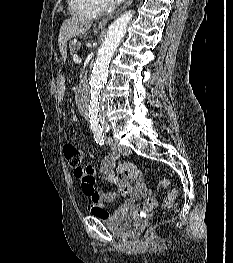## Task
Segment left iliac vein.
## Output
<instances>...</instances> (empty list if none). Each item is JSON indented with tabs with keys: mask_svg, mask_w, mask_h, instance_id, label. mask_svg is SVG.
Listing matches in <instances>:
<instances>
[{
	"mask_svg": "<svg viewBox=\"0 0 233 263\" xmlns=\"http://www.w3.org/2000/svg\"><path fill=\"white\" fill-rule=\"evenodd\" d=\"M110 143H111V147L117 151L118 153L122 154V155H129L131 154V149L127 146H123V145H119L118 143L112 141L111 139H109Z\"/></svg>",
	"mask_w": 233,
	"mask_h": 263,
	"instance_id": "obj_1",
	"label": "left iliac vein"
}]
</instances>
